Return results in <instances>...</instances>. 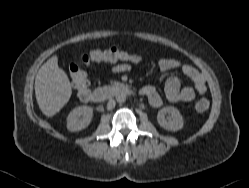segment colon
Returning <instances> with one entry per match:
<instances>
[{
  "label": "colon",
  "mask_w": 249,
  "mask_h": 188,
  "mask_svg": "<svg viewBox=\"0 0 249 188\" xmlns=\"http://www.w3.org/2000/svg\"><path fill=\"white\" fill-rule=\"evenodd\" d=\"M130 58L128 52L119 50L116 47H111L106 50H95L88 54H84L79 60L72 61L69 65L71 83L75 89L77 96L80 99H88L90 84L87 79L85 66L97 62H116L124 61ZM209 108V101L206 98H201L196 103V110L205 112Z\"/></svg>",
  "instance_id": "obj_1"
}]
</instances>
